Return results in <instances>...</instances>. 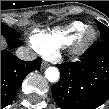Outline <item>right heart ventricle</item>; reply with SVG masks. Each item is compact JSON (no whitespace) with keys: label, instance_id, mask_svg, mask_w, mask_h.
Masks as SVG:
<instances>
[{"label":"right heart ventricle","instance_id":"e07e8e85","mask_svg":"<svg viewBox=\"0 0 109 109\" xmlns=\"http://www.w3.org/2000/svg\"><path fill=\"white\" fill-rule=\"evenodd\" d=\"M88 25L74 21L65 27H57L50 31H35L30 40L36 50L45 57L53 56L61 48L70 46Z\"/></svg>","mask_w":109,"mask_h":109}]
</instances>
